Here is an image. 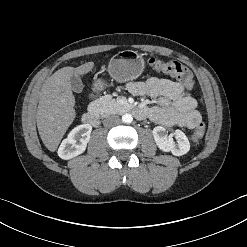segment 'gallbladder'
Instances as JSON below:
<instances>
[{
    "mask_svg": "<svg viewBox=\"0 0 247 247\" xmlns=\"http://www.w3.org/2000/svg\"><path fill=\"white\" fill-rule=\"evenodd\" d=\"M70 82H71V88L74 92L76 93L82 92L84 86L79 76L72 75Z\"/></svg>",
    "mask_w": 247,
    "mask_h": 247,
    "instance_id": "bac80fb5",
    "label": "gallbladder"
}]
</instances>
